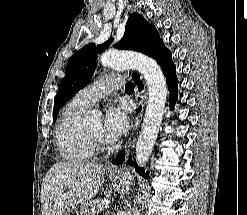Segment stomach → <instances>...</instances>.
Instances as JSON below:
<instances>
[{
	"label": "stomach",
	"mask_w": 247,
	"mask_h": 215,
	"mask_svg": "<svg viewBox=\"0 0 247 215\" xmlns=\"http://www.w3.org/2000/svg\"><path fill=\"white\" fill-rule=\"evenodd\" d=\"M131 180L132 177L130 174L124 175L121 179L114 178L116 189L122 193L125 192L129 188ZM62 215H70V211L65 210Z\"/></svg>",
	"instance_id": "1"
}]
</instances>
